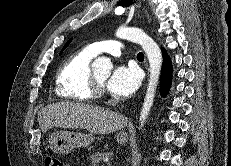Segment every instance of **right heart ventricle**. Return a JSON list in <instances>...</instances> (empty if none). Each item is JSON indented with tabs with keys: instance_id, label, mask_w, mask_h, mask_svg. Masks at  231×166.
<instances>
[{
	"instance_id": "1",
	"label": "right heart ventricle",
	"mask_w": 231,
	"mask_h": 166,
	"mask_svg": "<svg viewBox=\"0 0 231 166\" xmlns=\"http://www.w3.org/2000/svg\"><path fill=\"white\" fill-rule=\"evenodd\" d=\"M96 56L87 46L74 52L63 62L55 80V92L59 98L74 101L93 98L90 84L91 62Z\"/></svg>"
}]
</instances>
